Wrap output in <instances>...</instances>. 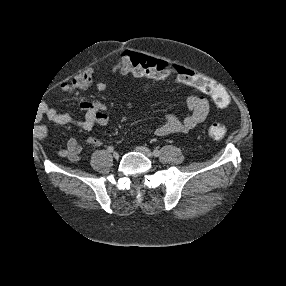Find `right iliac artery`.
Listing matches in <instances>:
<instances>
[{
  "mask_svg": "<svg viewBox=\"0 0 286 286\" xmlns=\"http://www.w3.org/2000/svg\"><path fill=\"white\" fill-rule=\"evenodd\" d=\"M107 150H108L109 152H113L114 148H113L112 146H108Z\"/></svg>",
  "mask_w": 286,
  "mask_h": 286,
  "instance_id": "obj_1",
  "label": "right iliac artery"
}]
</instances>
